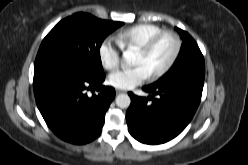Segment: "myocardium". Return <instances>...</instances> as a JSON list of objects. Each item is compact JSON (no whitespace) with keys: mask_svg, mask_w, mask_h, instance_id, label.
I'll use <instances>...</instances> for the list:
<instances>
[{"mask_svg":"<svg viewBox=\"0 0 248 165\" xmlns=\"http://www.w3.org/2000/svg\"><path fill=\"white\" fill-rule=\"evenodd\" d=\"M167 37L170 38L173 42L172 53L168 60L165 62V64L151 74L152 79H156L163 76L177 61L181 52V40L176 33L172 31H163L150 38L143 46L138 49V52L142 54H149L162 39Z\"/></svg>","mask_w":248,"mask_h":165,"instance_id":"obj_1","label":"myocardium"}]
</instances>
